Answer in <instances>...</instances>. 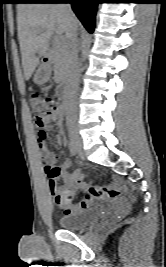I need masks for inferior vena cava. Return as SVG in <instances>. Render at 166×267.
Listing matches in <instances>:
<instances>
[{
	"instance_id": "602c4592",
	"label": "inferior vena cava",
	"mask_w": 166,
	"mask_h": 267,
	"mask_svg": "<svg viewBox=\"0 0 166 267\" xmlns=\"http://www.w3.org/2000/svg\"><path fill=\"white\" fill-rule=\"evenodd\" d=\"M61 7L66 14L68 25L66 38L68 40L69 84L72 89V94H74L77 89L79 76L77 26L74 23L75 15L72 12L70 4L62 3Z\"/></svg>"
}]
</instances>
